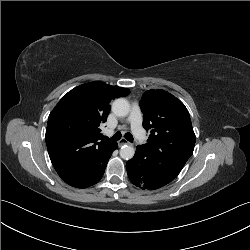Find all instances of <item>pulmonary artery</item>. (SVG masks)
<instances>
[{
	"label": "pulmonary artery",
	"mask_w": 250,
	"mask_h": 250,
	"mask_svg": "<svg viewBox=\"0 0 250 250\" xmlns=\"http://www.w3.org/2000/svg\"><path fill=\"white\" fill-rule=\"evenodd\" d=\"M128 122L131 125V129L135 135V137L140 141L144 142L145 140V133L142 128L141 123V110L140 106L137 102L133 103L131 112L128 117Z\"/></svg>",
	"instance_id": "obj_1"
}]
</instances>
